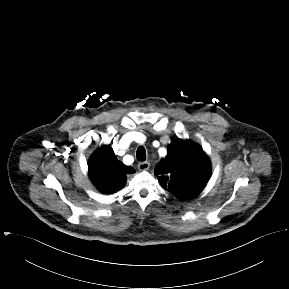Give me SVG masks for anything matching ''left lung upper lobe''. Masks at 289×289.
Instances as JSON below:
<instances>
[{
    "label": "left lung upper lobe",
    "mask_w": 289,
    "mask_h": 289,
    "mask_svg": "<svg viewBox=\"0 0 289 289\" xmlns=\"http://www.w3.org/2000/svg\"><path fill=\"white\" fill-rule=\"evenodd\" d=\"M167 149V156L154 171L160 184L179 199L196 196L211 174L208 156L199 145L188 140L177 139Z\"/></svg>",
    "instance_id": "1"
}]
</instances>
